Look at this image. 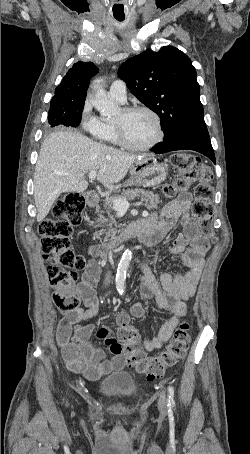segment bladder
<instances>
[{
    "label": "bladder",
    "instance_id": "obj_1",
    "mask_svg": "<svg viewBox=\"0 0 250 454\" xmlns=\"http://www.w3.org/2000/svg\"><path fill=\"white\" fill-rule=\"evenodd\" d=\"M136 390L135 379L126 371L113 373L98 384V391L103 397L116 401L129 400Z\"/></svg>",
    "mask_w": 250,
    "mask_h": 454
}]
</instances>
